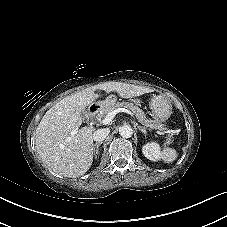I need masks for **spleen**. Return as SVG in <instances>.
Wrapping results in <instances>:
<instances>
[{
    "mask_svg": "<svg viewBox=\"0 0 227 227\" xmlns=\"http://www.w3.org/2000/svg\"><path fill=\"white\" fill-rule=\"evenodd\" d=\"M177 158V152L175 149L172 148H164L162 151V159L165 162H173Z\"/></svg>",
    "mask_w": 227,
    "mask_h": 227,
    "instance_id": "spleen-1",
    "label": "spleen"
}]
</instances>
